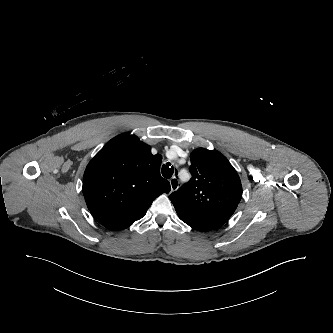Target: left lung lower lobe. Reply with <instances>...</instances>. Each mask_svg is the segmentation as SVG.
<instances>
[{
    "mask_svg": "<svg viewBox=\"0 0 333 333\" xmlns=\"http://www.w3.org/2000/svg\"><path fill=\"white\" fill-rule=\"evenodd\" d=\"M179 218L198 231H210L223 225L234 213L233 204L189 206L183 203L173 204Z\"/></svg>",
    "mask_w": 333,
    "mask_h": 333,
    "instance_id": "0a47b994",
    "label": "left lung lower lobe"
}]
</instances>
